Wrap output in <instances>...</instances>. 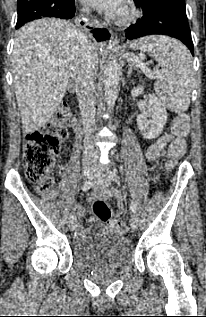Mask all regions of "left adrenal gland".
I'll return each instance as SVG.
<instances>
[{
    "label": "left adrenal gland",
    "mask_w": 206,
    "mask_h": 317,
    "mask_svg": "<svg viewBox=\"0 0 206 317\" xmlns=\"http://www.w3.org/2000/svg\"><path fill=\"white\" fill-rule=\"evenodd\" d=\"M134 69V65L133 64H129V69L127 71V76L130 75L131 71Z\"/></svg>",
    "instance_id": "1"
}]
</instances>
